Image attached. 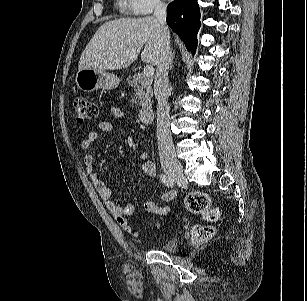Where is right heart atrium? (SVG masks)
Wrapping results in <instances>:
<instances>
[{
	"instance_id": "d8ad5b80",
	"label": "right heart atrium",
	"mask_w": 307,
	"mask_h": 301,
	"mask_svg": "<svg viewBox=\"0 0 307 301\" xmlns=\"http://www.w3.org/2000/svg\"><path fill=\"white\" fill-rule=\"evenodd\" d=\"M127 9L137 15H147L165 8L164 0H124Z\"/></svg>"
}]
</instances>
